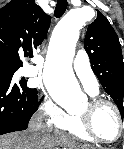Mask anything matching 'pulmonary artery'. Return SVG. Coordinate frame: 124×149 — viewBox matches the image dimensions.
<instances>
[{"label":"pulmonary artery","instance_id":"pulmonary-artery-1","mask_svg":"<svg viewBox=\"0 0 124 149\" xmlns=\"http://www.w3.org/2000/svg\"><path fill=\"white\" fill-rule=\"evenodd\" d=\"M74 71L87 93L90 95L98 94L99 82L91 68L88 56L83 50H80L76 56ZM37 72V70L29 68L24 71V75L33 76L37 74Z\"/></svg>","mask_w":124,"mask_h":149}]
</instances>
